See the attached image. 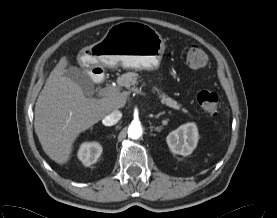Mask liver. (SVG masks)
I'll use <instances>...</instances> for the list:
<instances>
[{
  "mask_svg": "<svg viewBox=\"0 0 277 218\" xmlns=\"http://www.w3.org/2000/svg\"><path fill=\"white\" fill-rule=\"evenodd\" d=\"M67 64L62 57L51 71L34 111V128L42 148L58 164L68 162L80 133L124 107L127 98L118 92L100 99L87 98L76 82L63 75Z\"/></svg>",
  "mask_w": 277,
  "mask_h": 218,
  "instance_id": "obj_1",
  "label": "liver"
}]
</instances>
